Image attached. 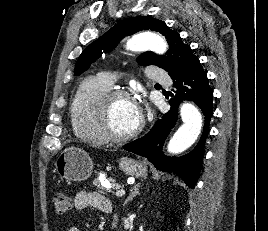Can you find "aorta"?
<instances>
[{
    "label": "aorta",
    "instance_id": "obj_1",
    "mask_svg": "<svg viewBox=\"0 0 268 231\" xmlns=\"http://www.w3.org/2000/svg\"><path fill=\"white\" fill-rule=\"evenodd\" d=\"M127 48L131 51L149 49L157 54H163L167 50V43L157 34L141 33L127 42ZM180 115L183 124L174 133L167 146L168 152L172 154L187 150L197 140L202 128V116L191 103H184L181 106Z\"/></svg>",
    "mask_w": 268,
    "mask_h": 231
}]
</instances>
